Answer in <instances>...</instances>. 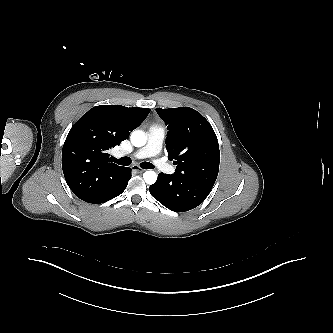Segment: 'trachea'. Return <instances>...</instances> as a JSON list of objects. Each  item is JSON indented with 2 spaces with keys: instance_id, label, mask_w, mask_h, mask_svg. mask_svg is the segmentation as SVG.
<instances>
[{
  "instance_id": "obj_1",
  "label": "trachea",
  "mask_w": 333,
  "mask_h": 333,
  "mask_svg": "<svg viewBox=\"0 0 333 333\" xmlns=\"http://www.w3.org/2000/svg\"><path fill=\"white\" fill-rule=\"evenodd\" d=\"M112 161L114 163H117L119 165H123V166H128L131 164V159L129 157H122L120 159H117V158H114L112 157ZM141 168L143 169H153L154 168V165L149 163V162H142L140 164Z\"/></svg>"
}]
</instances>
